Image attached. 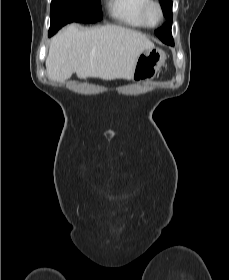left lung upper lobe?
Returning <instances> with one entry per match:
<instances>
[{
  "instance_id": "5c2ea615",
  "label": "left lung upper lobe",
  "mask_w": 229,
  "mask_h": 280,
  "mask_svg": "<svg viewBox=\"0 0 229 280\" xmlns=\"http://www.w3.org/2000/svg\"><path fill=\"white\" fill-rule=\"evenodd\" d=\"M163 10V14L166 17V23L162 27L155 31V34L161 39L162 42L170 44L173 41L171 35L172 26V0H159Z\"/></svg>"
}]
</instances>
